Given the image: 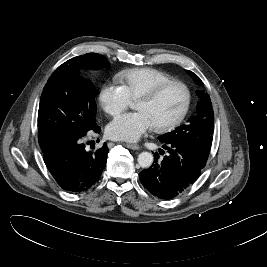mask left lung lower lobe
Returning a JSON list of instances; mask_svg holds the SVG:
<instances>
[{"label":"left lung lower lobe","mask_w":267,"mask_h":267,"mask_svg":"<svg viewBox=\"0 0 267 267\" xmlns=\"http://www.w3.org/2000/svg\"><path fill=\"white\" fill-rule=\"evenodd\" d=\"M162 143L168 154L160 161L156 153L154 164L141 171L139 178L154 196L169 200L182 193L199 177L207 158L188 144ZM159 152L164 153L161 149Z\"/></svg>","instance_id":"obj_1"}]
</instances>
